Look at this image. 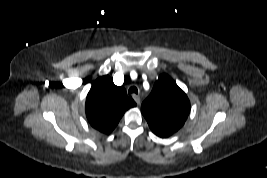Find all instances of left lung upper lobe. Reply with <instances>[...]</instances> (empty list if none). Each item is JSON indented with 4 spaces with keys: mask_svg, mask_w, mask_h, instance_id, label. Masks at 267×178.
Segmentation results:
<instances>
[{
    "mask_svg": "<svg viewBox=\"0 0 267 178\" xmlns=\"http://www.w3.org/2000/svg\"><path fill=\"white\" fill-rule=\"evenodd\" d=\"M189 111L187 95L166 74L160 75L151 94L141 106L149 127L161 138L177 132L184 125Z\"/></svg>",
    "mask_w": 267,
    "mask_h": 178,
    "instance_id": "obj_1",
    "label": "left lung upper lobe"
}]
</instances>
